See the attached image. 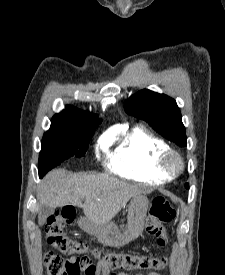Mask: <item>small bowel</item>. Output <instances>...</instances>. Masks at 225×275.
<instances>
[{
	"mask_svg": "<svg viewBox=\"0 0 225 275\" xmlns=\"http://www.w3.org/2000/svg\"><path fill=\"white\" fill-rule=\"evenodd\" d=\"M72 259L75 260L76 257H73ZM83 259L89 262L94 269L90 275H143L141 273H127V272H119L117 274H113L111 272V269L108 268L106 265H104L101 261H97L95 264H93L90 257H84ZM147 275H162V274L153 271V272H149Z\"/></svg>",
	"mask_w": 225,
	"mask_h": 275,
	"instance_id": "1",
	"label": "small bowel"
}]
</instances>
